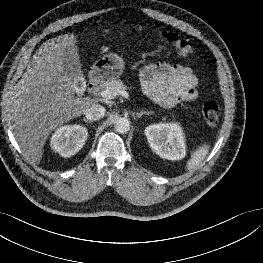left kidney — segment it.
<instances>
[{
    "label": "left kidney",
    "instance_id": "5707ae66",
    "mask_svg": "<svg viewBox=\"0 0 263 263\" xmlns=\"http://www.w3.org/2000/svg\"><path fill=\"white\" fill-rule=\"evenodd\" d=\"M152 150L162 159L181 160L186 155L182 128L177 123H159L145 128Z\"/></svg>",
    "mask_w": 263,
    "mask_h": 263
}]
</instances>
